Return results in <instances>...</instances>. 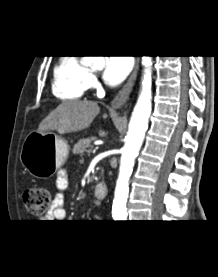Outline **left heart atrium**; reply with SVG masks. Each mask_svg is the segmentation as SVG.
I'll return each instance as SVG.
<instances>
[{
    "instance_id": "left-heart-atrium-1",
    "label": "left heart atrium",
    "mask_w": 218,
    "mask_h": 277,
    "mask_svg": "<svg viewBox=\"0 0 218 277\" xmlns=\"http://www.w3.org/2000/svg\"><path fill=\"white\" fill-rule=\"evenodd\" d=\"M132 68V61L127 57L106 58L103 72L104 80L109 85H117L122 82Z\"/></svg>"
}]
</instances>
